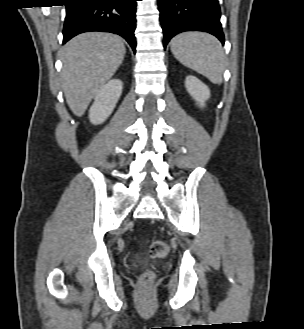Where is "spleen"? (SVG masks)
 <instances>
[{"label": "spleen", "instance_id": "1", "mask_svg": "<svg viewBox=\"0 0 304 329\" xmlns=\"http://www.w3.org/2000/svg\"><path fill=\"white\" fill-rule=\"evenodd\" d=\"M171 52L186 67L220 84L224 71L225 55L220 42L202 32H186L174 37Z\"/></svg>", "mask_w": 304, "mask_h": 329}]
</instances>
